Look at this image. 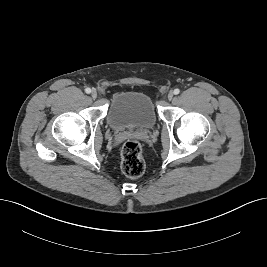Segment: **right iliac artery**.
<instances>
[{
	"instance_id": "82829eb1",
	"label": "right iliac artery",
	"mask_w": 267,
	"mask_h": 267,
	"mask_svg": "<svg viewBox=\"0 0 267 267\" xmlns=\"http://www.w3.org/2000/svg\"><path fill=\"white\" fill-rule=\"evenodd\" d=\"M85 92H86L87 94H89V93H91V89H90V88H86V89H85Z\"/></svg>"
}]
</instances>
